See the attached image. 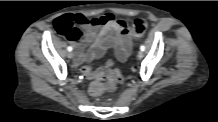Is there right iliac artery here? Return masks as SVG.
Returning a JSON list of instances; mask_svg holds the SVG:
<instances>
[{"instance_id":"1","label":"right iliac artery","mask_w":218,"mask_h":122,"mask_svg":"<svg viewBox=\"0 0 218 122\" xmlns=\"http://www.w3.org/2000/svg\"><path fill=\"white\" fill-rule=\"evenodd\" d=\"M68 51H72V47L71 46H68Z\"/></svg>"}]
</instances>
